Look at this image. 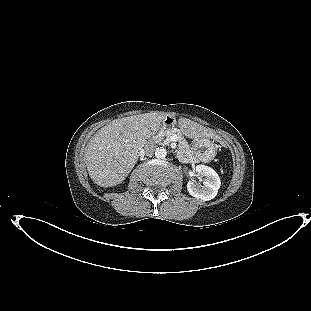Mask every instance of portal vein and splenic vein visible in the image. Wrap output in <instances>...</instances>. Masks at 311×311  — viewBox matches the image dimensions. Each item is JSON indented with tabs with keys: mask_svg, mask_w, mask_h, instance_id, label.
<instances>
[{
	"mask_svg": "<svg viewBox=\"0 0 311 311\" xmlns=\"http://www.w3.org/2000/svg\"><path fill=\"white\" fill-rule=\"evenodd\" d=\"M171 140H172V141H178V136H177V135H173V136L171 137Z\"/></svg>",
	"mask_w": 311,
	"mask_h": 311,
	"instance_id": "obj_1",
	"label": "portal vein and splenic vein"
}]
</instances>
